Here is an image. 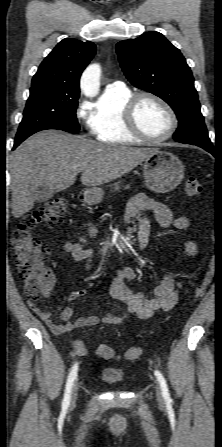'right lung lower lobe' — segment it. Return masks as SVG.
Returning <instances> with one entry per match:
<instances>
[{
	"mask_svg": "<svg viewBox=\"0 0 222 447\" xmlns=\"http://www.w3.org/2000/svg\"><path fill=\"white\" fill-rule=\"evenodd\" d=\"M18 145H19V144H16V143H15V144H14V148H16Z\"/></svg>",
	"mask_w": 222,
	"mask_h": 447,
	"instance_id": "obj_1",
	"label": "right lung lower lobe"
}]
</instances>
